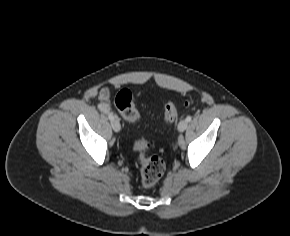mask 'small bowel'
I'll return each instance as SVG.
<instances>
[{"label":"small bowel","instance_id":"c3829d8e","mask_svg":"<svg viewBox=\"0 0 290 236\" xmlns=\"http://www.w3.org/2000/svg\"><path fill=\"white\" fill-rule=\"evenodd\" d=\"M109 98H110V90L107 87L102 88L99 93V101L101 108L103 110H106L108 108Z\"/></svg>","mask_w":290,"mask_h":236}]
</instances>
